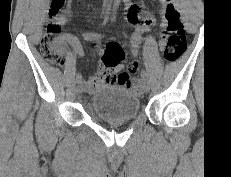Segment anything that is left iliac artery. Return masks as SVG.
I'll list each match as a JSON object with an SVG mask.
<instances>
[{
    "label": "left iliac artery",
    "mask_w": 231,
    "mask_h": 177,
    "mask_svg": "<svg viewBox=\"0 0 231 177\" xmlns=\"http://www.w3.org/2000/svg\"><path fill=\"white\" fill-rule=\"evenodd\" d=\"M141 76H142L143 78H148V73H147L145 70H142V71H141Z\"/></svg>",
    "instance_id": "obj_1"
}]
</instances>
